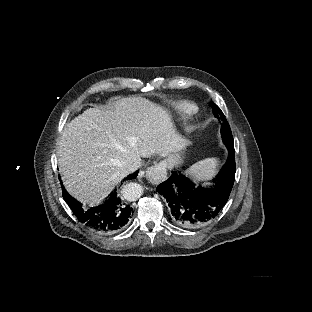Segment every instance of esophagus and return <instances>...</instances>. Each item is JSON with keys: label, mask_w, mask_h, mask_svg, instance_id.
Segmentation results:
<instances>
[{"label": "esophagus", "mask_w": 312, "mask_h": 312, "mask_svg": "<svg viewBox=\"0 0 312 312\" xmlns=\"http://www.w3.org/2000/svg\"><path fill=\"white\" fill-rule=\"evenodd\" d=\"M146 177L151 184H159L167 178V165L165 162H159L146 169L145 173L140 174L139 177Z\"/></svg>", "instance_id": "1"}]
</instances>
